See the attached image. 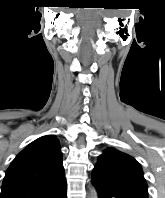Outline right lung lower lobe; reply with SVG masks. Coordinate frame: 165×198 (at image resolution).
<instances>
[{
    "label": "right lung lower lobe",
    "mask_w": 165,
    "mask_h": 198,
    "mask_svg": "<svg viewBox=\"0 0 165 198\" xmlns=\"http://www.w3.org/2000/svg\"><path fill=\"white\" fill-rule=\"evenodd\" d=\"M56 198H67L66 189L62 193H60L58 196H56Z\"/></svg>",
    "instance_id": "1"
}]
</instances>
